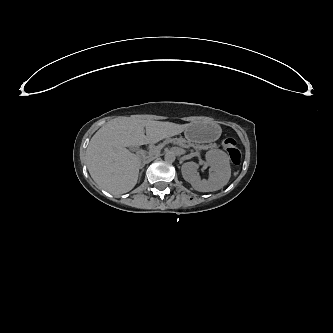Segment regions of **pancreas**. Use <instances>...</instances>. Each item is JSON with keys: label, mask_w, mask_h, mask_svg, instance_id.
Here are the masks:
<instances>
[{"label": "pancreas", "mask_w": 333, "mask_h": 333, "mask_svg": "<svg viewBox=\"0 0 333 333\" xmlns=\"http://www.w3.org/2000/svg\"><path fill=\"white\" fill-rule=\"evenodd\" d=\"M171 142H172V143H178V144H180V145H185V144H187V141L184 140V139L171 140ZM188 145H189V146H195V145H193L192 143H189ZM158 151H159V148H158V147H154L153 150H151V151L149 152V154L153 155V154L157 153Z\"/></svg>", "instance_id": "cf45deb5"}]
</instances>
